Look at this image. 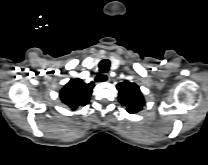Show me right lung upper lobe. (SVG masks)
Masks as SVG:
<instances>
[{"label": "right lung upper lobe", "mask_w": 208, "mask_h": 165, "mask_svg": "<svg viewBox=\"0 0 208 165\" xmlns=\"http://www.w3.org/2000/svg\"><path fill=\"white\" fill-rule=\"evenodd\" d=\"M94 83H84L81 79H71L60 91V98L71 110L85 106L93 91Z\"/></svg>", "instance_id": "cb5924a9"}]
</instances>
